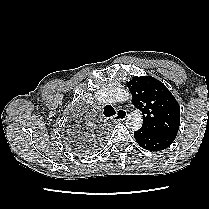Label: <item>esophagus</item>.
<instances>
[{
	"mask_svg": "<svg viewBox=\"0 0 209 209\" xmlns=\"http://www.w3.org/2000/svg\"><path fill=\"white\" fill-rule=\"evenodd\" d=\"M126 116H127V111L126 110L118 109L117 114L114 115L111 119L115 122L116 121H122L126 118Z\"/></svg>",
	"mask_w": 209,
	"mask_h": 209,
	"instance_id": "34e87169",
	"label": "esophagus"
}]
</instances>
